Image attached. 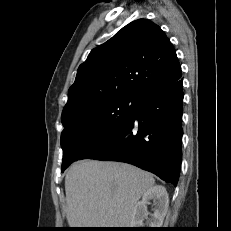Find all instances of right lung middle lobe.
Segmentation results:
<instances>
[{
  "mask_svg": "<svg viewBox=\"0 0 231 231\" xmlns=\"http://www.w3.org/2000/svg\"><path fill=\"white\" fill-rule=\"evenodd\" d=\"M135 109L136 97L122 96L62 116V172L115 133Z\"/></svg>",
  "mask_w": 231,
  "mask_h": 231,
  "instance_id": "1",
  "label": "right lung middle lobe"
}]
</instances>
